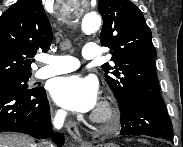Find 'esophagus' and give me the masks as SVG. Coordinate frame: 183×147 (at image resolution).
Returning <instances> with one entry per match:
<instances>
[{
	"mask_svg": "<svg viewBox=\"0 0 183 147\" xmlns=\"http://www.w3.org/2000/svg\"><path fill=\"white\" fill-rule=\"evenodd\" d=\"M65 127H66L68 133L72 136V138L76 142H78L82 146H84L86 144V142H84L83 139L81 138V135H80V132L78 130V126H77L76 122L69 121L66 123Z\"/></svg>",
	"mask_w": 183,
	"mask_h": 147,
	"instance_id": "esophagus-1",
	"label": "esophagus"
}]
</instances>
